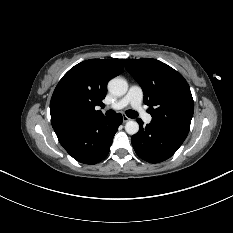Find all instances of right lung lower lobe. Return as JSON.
Masks as SVG:
<instances>
[{"label":"right lung lower lobe","mask_w":233,"mask_h":233,"mask_svg":"<svg viewBox=\"0 0 233 233\" xmlns=\"http://www.w3.org/2000/svg\"><path fill=\"white\" fill-rule=\"evenodd\" d=\"M122 123V115H104L73 122L55 129L60 144L77 161L96 164L109 153L113 137Z\"/></svg>","instance_id":"right-lung-lower-lobe-1"}]
</instances>
